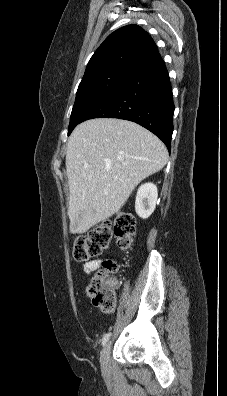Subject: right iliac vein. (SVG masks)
<instances>
[{
	"label": "right iliac vein",
	"instance_id": "right-iliac-vein-1",
	"mask_svg": "<svg viewBox=\"0 0 227 396\" xmlns=\"http://www.w3.org/2000/svg\"><path fill=\"white\" fill-rule=\"evenodd\" d=\"M110 351H111V341H108L101 352L100 362L103 369H107L108 367L110 360Z\"/></svg>",
	"mask_w": 227,
	"mask_h": 396
}]
</instances>
